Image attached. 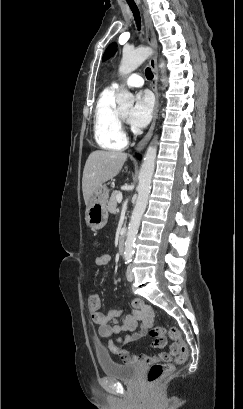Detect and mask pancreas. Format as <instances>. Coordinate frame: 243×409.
Listing matches in <instances>:
<instances>
[{
    "mask_svg": "<svg viewBox=\"0 0 243 409\" xmlns=\"http://www.w3.org/2000/svg\"><path fill=\"white\" fill-rule=\"evenodd\" d=\"M119 194H121V193H120V191H117V190L113 191L112 194H111V197H110L109 202H108V211L111 212V213L116 212V206H117L116 198H117V195H119Z\"/></svg>",
    "mask_w": 243,
    "mask_h": 409,
    "instance_id": "pancreas-1",
    "label": "pancreas"
}]
</instances>
